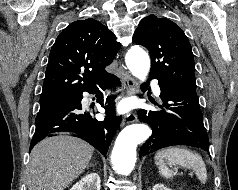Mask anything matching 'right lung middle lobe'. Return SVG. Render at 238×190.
<instances>
[{"label": "right lung middle lobe", "instance_id": "1", "mask_svg": "<svg viewBox=\"0 0 238 190\" xmlns=\"http://www.w3.org/2000/svg\"><path fill=\"white\" fill-rule=\"evenodd\" d=\"M77 99H78V96L77 97H70V98L60 99V100H55V101H49V102H40L39 112L72 104V103L76 102Z\"/></svg>", "mask_w": 238, "mask_h": 190}]
</instances>
